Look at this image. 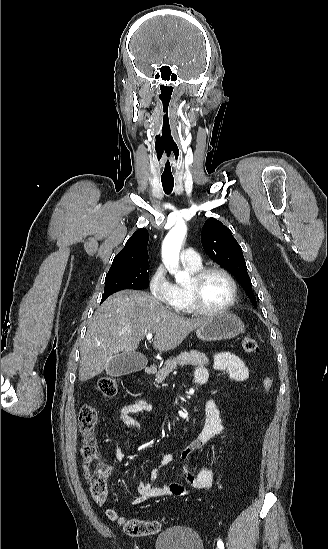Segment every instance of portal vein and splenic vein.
Wrapping results in <instances>:
<instances>
[{
	"label": "portal vein and splenic vein",
	"instance_id": "18ae733b",
	"mask_svg": "<svg viewBox=\"0 0 328 549\" xmlns=\"http://www.w3.org/2000/svg\"><path fill=\"white\" fill-rule=\"evenodd\" d=\"M152 337H153L152 333H148V335H146L147 341H151Z\"/></svg>",
	"mask_w": 328,
	"mask_h": 549
}]
</instances>
